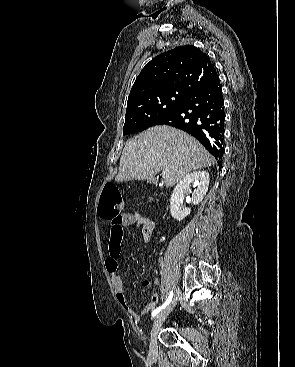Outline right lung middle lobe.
Here are the masks:
<instances>
[{"instance_id":"right-lung-middle-lobe-1","label":"right lung middle lobe","mask_w":295,"mask_h":367,"mask_svg":"<svg viewBox=\"0 0 295 367\" xmlns=\"http://www.w3.org/2000/svg\"><path fill=\"white\" fill-rule=\"evenodd\" d=\"M189 95L166 92L133 102L126 110L123 135L140 132L178 109Z\"/></svg>"}]
</instances>
